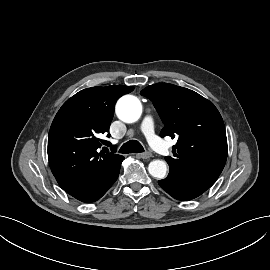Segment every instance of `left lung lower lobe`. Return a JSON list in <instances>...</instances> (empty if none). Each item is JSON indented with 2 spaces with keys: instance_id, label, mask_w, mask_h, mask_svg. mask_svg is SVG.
Segmentation results:
<instances>
[{
  "instance_id": "left-lung-lower-lobe-1",
  "label": "left lung lower lobe",
  "mask_w": 270,
  "mask_h": 270,
  "mask_svg": "<svg viewBox=\"0 0 270 270\" xmlns=\"http://www.w3.org/2000/svg\"><path fill=\"white\" fill-rule=\"evenodd\" d=\"M216 180L201 172L170 168L167 178L158 183L175 199L186 201L204 193Z\"/></svg>"
}]
</instances>
